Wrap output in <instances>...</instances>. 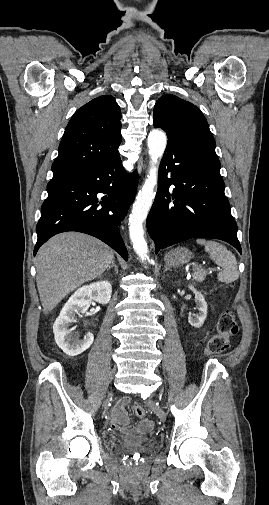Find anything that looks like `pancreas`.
Here are the masks:
<instances>
[{
	"label": "pancreas",
	"mask_w": 269,
	"mask_h": 505,
	"mask_svg": "<svg viewBox=\"0 0 269 505\" xmlns=\"http://www.w3.org/2000/svg\"><path fill=\"white\" fill-rule=\"evenodd\" d=\"M207 274H208V272L206 270H197L192 274V277H193V280H195L197 282H202L205 279Z\"/></svg>",
	"instance_id": "cf45deb5"
}]
</instances>
